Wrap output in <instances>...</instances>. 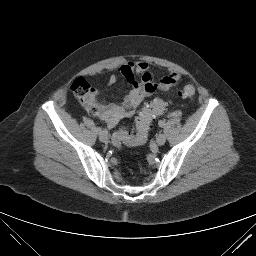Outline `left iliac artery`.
<instances>
[{
    "instance_id": "obj_1",
    "label": "left iliac artery",
    "mask_w": 256,
    "mask_h": 256,
    "mask_svg": "<svg viewBox=\"0 0 256 256\" xmlns=\"http://www.w3.org/2000/svg\"><path fill=\"white\" fill-rule=\"evenodd\" d=\"M165 125L164 121H159V126L163 127Z\"/></svg>"
}]
</instances>
